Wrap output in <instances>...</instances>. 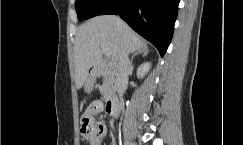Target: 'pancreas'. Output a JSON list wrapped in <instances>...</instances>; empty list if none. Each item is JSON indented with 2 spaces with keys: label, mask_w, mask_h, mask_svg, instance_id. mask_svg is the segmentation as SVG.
<instances>
[{
  "label": "pancreas",
  "mask_w": 243,
  "mask_h": 145,
  "mask_svg": "<svg viewBox=\"0 0 243 145\" xmlns=\"http://www.w3.org/2000/svg\"><path fill=\"white\" fill-rule=\"evenodd\" d=\"M116 86H115V77L114 74L108 70L105 73L104 81H103V86H102V93L105 98L108 97L110 93L115 91Z\"/></svg>",
  "instance_id": "obj_1"
}]
</instances>
